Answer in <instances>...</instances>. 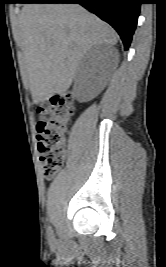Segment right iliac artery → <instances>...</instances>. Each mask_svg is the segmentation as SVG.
Masks as SVG:
<instances>
[{"label": "right iliac artery", "mask_w": 166, "mask_h": 267, "mask_svg": "<svg viewBox=\"0 0 166 267\" xmlns=\"http://www.w3.org/2000/svg\"><path fill=\"white\" fill-rule=\"evenodd\" d=\"M47 237H48V239L50 241L53 240V238H54V236H53V230H52V228L50 226L47 228Z\"/></svg>", "instance_id": "right-iliac-artery-1"}]
</instances>
